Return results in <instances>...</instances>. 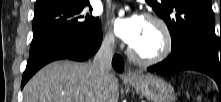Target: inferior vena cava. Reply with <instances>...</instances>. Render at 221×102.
I'll return each instance as SVG.
<instances>
[{"instance_id": "inferior-vena-cava-1", "label": "inferior vena cava", "mask_w": 221, "mask_h": 102, "mask_svg": "<svg viewBox=\"0 0 221 102\" xmlns=\"http://www.w3.org/2000/svg\"><path fill=\"white\" fill-rule=\"evenodd\" d=\"M114 55V36L107 35L96 53L92 62L97 67L101 77L103 78L112 69V58Z\"/></svg>"}]
</instances>
